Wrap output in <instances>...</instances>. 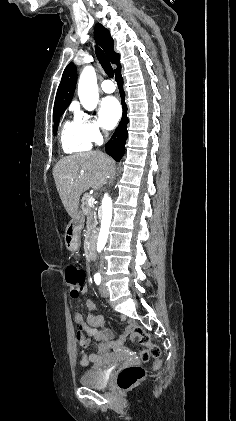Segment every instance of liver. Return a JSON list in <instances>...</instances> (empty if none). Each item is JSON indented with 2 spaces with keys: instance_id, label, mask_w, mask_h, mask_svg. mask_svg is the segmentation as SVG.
<instances>
[{
  "instance_id": "liver-1",
  "label": "liver",
  "mask_w": 236,
  "mask_h": 421,
  "mask_svg": "<svg viewBox=\"0 0 236 421\" xmlns=\"http://www.w3.org/2000/svg\"><path fill=\"white\" fill-rule=\"evenodd\" d=\"M114 170L115 160L99 150L70 154L56 162L53 168L56 188L72 219L78 213L82 192L90 186L101 188ZM70 178H73L72 182Z\"/></svg>"
}]
</instances>
